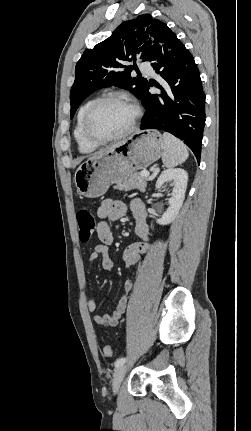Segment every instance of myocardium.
Masks as SVG:
<instances>
[{
    "label": "myocardium",
    "instance_id": "1",
    "mask_svg": "<svg viewBox=\"0 0 251 431\" xmlns=\"http://www.w3.org/2000/svg\"><path fill=\"white\" fill-rule=\"evenodd\" d=\"M109 101H121V102H125V103L129 104L134 110L133 120H132L130 126L125 131L121 132L120 134H117V135L111 136V137H106V138L96 137L91 132V129H90V123H91L92 117L101 105H103L104 103L109 102ZM141 115H142V112H141L140 106L132 98H130L126 95H123V94H119V93L105 94V95L99 97L98 99H96L90 105L88 110L86 111L84 118H83V123H82L83 135L88 142H90L91 144H94V145H98V146L124 139L127 136L131 135L136 130L137 125L140 121Z\"/></svg>",
    "mask_w": 251,
    "mask_h": 431
}]
</instances>
